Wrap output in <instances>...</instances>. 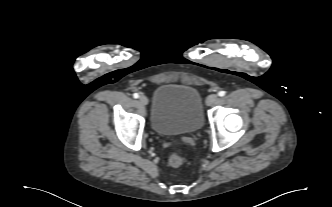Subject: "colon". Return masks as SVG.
<instances>
[{
    "label": "colon",
    "mask_w": 332,
    "mask_h": 207,
    "mask_svg": "<svg viewBox=\"0 0 332 207\" xmlns=\"http://www.w3.org/2000/svg\"><path fill=\"white\" fill-rule=\"evenodd\" d=\"M183 162L184 158L180 153H174L169 157V164L173 167H179Z\"/></svg>",
    "instance_id": "colon-1"
}]
</instances>
